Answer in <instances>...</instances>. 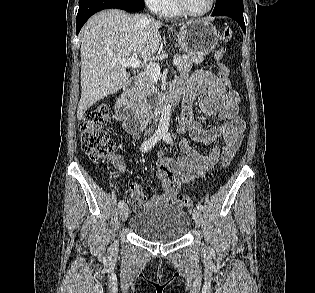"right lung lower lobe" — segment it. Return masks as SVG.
Listing matches in <instances>:
<instances>
[{"mask_svg":"<svg viewBox=\"0 0 315 293\" xmlns=\"http://www.w3.org/2000/svg\"><path fill=\"white\" fill-rule=\"evenodd\" d=\"M144 6L143 0H79L76 32L78 34L89 17L100 10L117 8L133 12L144 9Z\"/></svg>","mask_w":315,"mask_h":293,"instance_id":"98d812e1","label":"right lung lower lobe"}]
</instances>
